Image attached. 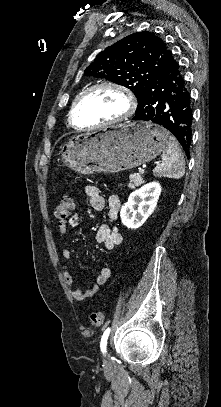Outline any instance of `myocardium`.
Returning <instances> with one entry per match:
<instances>
[{
	"label": "myocardium",
	"instance_id": "1",
	"mask_svg": "<svg viewBox=\"0 0 221 407\" xmlns=\"http://www.w3.org/2000/svg\"><path fill=\"white\" fill-rule=\"evenodd\" d=\"M99 89H114V90L121 92L124 95L126 102H127L126 111L121 116L114 118L112 120L103 122V123L99 124L98 126H94V127H90V128L78 127L76 124V112H77L78 107L80 106L82 101L88 95H90L91 93H93L94 91L99 90ZM135 109H136V99H135L134 94L131 92V90L128 87H126L125 85H122V84H118V83L104 82V83L95 84V85L87 88L86 90H84L82 93H80L78 95V97L75 99V101L71 107L69 118H70V122L76 129L93 130V129H97V128L105 126V125H112V124L122 122V121L126 120L127 118H129L135 112Z\"/></svg>",
	"mask_w": 221,
	"mask_h": 407
}]
</instances>
